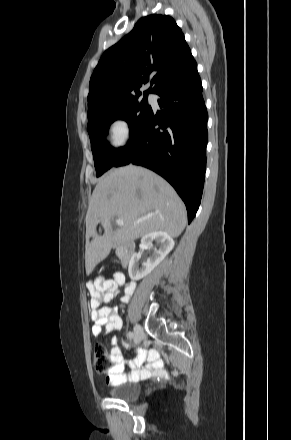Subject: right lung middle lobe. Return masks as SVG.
Segmentation results:
<instances>
[{"instance_id":"dd1d6c3e","label":"right lung middle lobe","mask_w":291,"mask_h":440,"mask_svg":"<svg viewBox=\"0 0 291 440\" xmlns=\"http://www.w3.org/2000/svg\"><path fill=\"white\" fill-rule=\"evenodd\" d=\"M139 96L101 104L88 111L87 129L97 177L113 167L122 150L112 148L105 140L109 125L117 119L125 120L132 135L150 112L147 95Z\"/></svg>"}]
</instances>
